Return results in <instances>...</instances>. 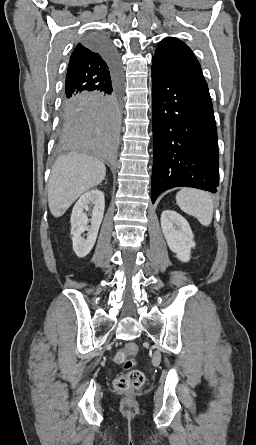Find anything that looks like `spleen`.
Here are the masks:
<instances>
[{
	"instance_id": "3e777b00",
	"label": "spleen",
	"mask_w": 256,
	"mask_h": 445,
	"mask_svg": "<svg viewBox=\"0 0 256 445\" xmlns=\"http://www.w3.org/2000/svg\"><path fill=\"white\" fill-rule=\"evenodd\" d=\"M176 201L182 211L195 216L203 226L210 225L213 217V201L208 193L184 188L176 194Z\"/></svg>"
}]
</instances>
